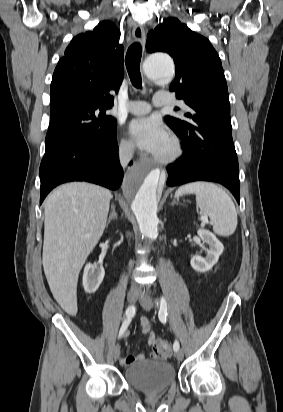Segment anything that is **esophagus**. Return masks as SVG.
<instances>
[{
  "label": "esophagus",
  "instance_id": "obj_1",
  "mask_svg": "<svg viewBox=\"0 0 283 412\" xmlns=\"http://www.w3.org/2000/svg\"><path fill=\"white\" fill-rule=\"evenodd\" d=\"M133 38L136 42L140 44H144L145 42V31L144 28L137 24L134 26L133 31H132Z\"/></svg>",
  "mask_w": 283,
  "mask_h": 412
}]
</instances>
